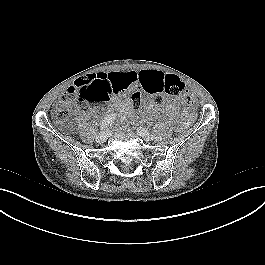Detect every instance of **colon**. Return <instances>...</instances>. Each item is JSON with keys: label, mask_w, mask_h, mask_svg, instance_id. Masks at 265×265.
<instances>
[{"label": "colon", "mask_w": 265, "mask_h": 265, "mask_svg": "<svg viewBox=\"0 0 265 265\" xmlns=\"http://www.w3.org/2000/svg\"><path fill=\"white\" fill-rule=\"evenodd\" d=\"M111 93L112 91L109 85L103 78H81L64 93L57 109V119L60 122L67 121L69 117L68 107L70 103L77 98L84 101H103L109 98ZM150 94L153 96V101L158 105L164 103L165 96L175 100L183 96L188 110H194L196 108L195 99L189 93H186L184 83L173 74H167L163 82L157 85ZM131 100L135 108L140 107L143 102L141 92H134L131 95ZM74 124L75 122H72V125Z\"/></svg>", "instance_id": "5ec220e1"}]
</instances>
